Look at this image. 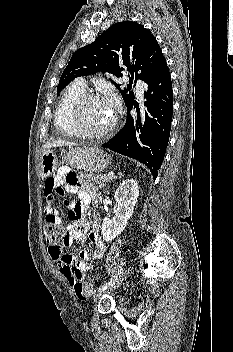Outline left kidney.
Wrapping results in <instances>:
<instances>
[{
	"mask_svg": "<svg viewBox=\"0 0 233 352\" xmlns=\"http://www.w3.org/2000/svg\"><path fill=\"white\" fill-rule=\"evenodd\" d=\"M138 196V183L134 179L123 181L117 188L114 194L118 203L115 216L111 220L107 217L104 218L102 223V235L105 241H112L125 229L133 214Z\"/></svg>",
	"mask_w": 233,
	"mask_h": 352,
	"instance_id": "1",
	"label": "left kidney"
}]
</instances>
